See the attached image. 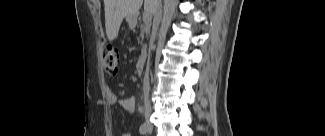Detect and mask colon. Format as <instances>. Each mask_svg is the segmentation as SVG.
I'll list each match as a JSON object with an SVG mask.
<instances>
[{"label": "colon", "instance_id": "obj_1", "mask_svg": "<svg viewBox=\"0 0 325 136\" xmlns=\"http://www.w3.org/2000/svg\"><path fill=\"white\" fill-rule=\"evenodd\" d=\"M104 70L109 74L118 71L119 52L112 45H105L102 49Z\"/></svg>", "mask_w": 325, "mask_h": 136}]
</instances>
